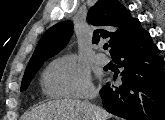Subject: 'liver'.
Returning <instances> with one entry per match:
<instances>
[{
    "mask_svg": "<svg viewBox=\"0 0 165 120\" xmlns=\"http://www.w3.org/2000/svg\"><path fill=\"white\" fill-rule=\"evenodd\" d=\"M103 108L75 99L54 100L33 109L25 120H108Z\"/></svg>",
    "mask_w": 165,
    "mask_h": 120,
    "instance_id": "liver-1",
    "label": "liver"
}]
</instances>
